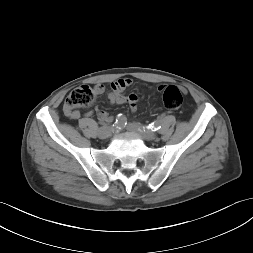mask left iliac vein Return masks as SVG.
<instances>
[{
	"mask_svg": "<svg viewBox=\"0 0 253 253\" xmlns=\"http://www.w3.org/2000/svg\"><path fill=\"white\" fill-rule=\"evenodd\" d=\"M126 128L128 131L138 134L140 137H142L145 140L153 141L157 139L156 133L145 129L142 125L138 123H130L127 125Z\"/></svg>",
	"mask_w": 253,
	"mask_h": 253,
	"instance_id": "left-iliac-vein-1",
	"label": "left iliac vein"
}]
</instances>
